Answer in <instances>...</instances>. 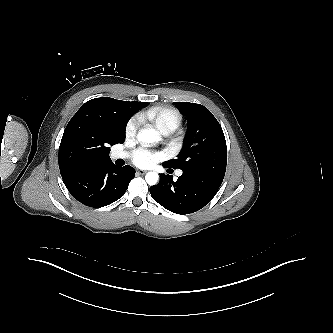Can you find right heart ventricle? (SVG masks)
<instances>
[{
    "label": "right heart ventricle",
    "instance_id": "e07e8e85",
    "mask_svg": "<svg viewBox=\"0 0 333 333\" xmlns=\"http://www.w3.org/2000/svg\"><path fill=\"white\" fill-rule=\"evenodd\" d=\"M144 120L151 122L161 133L170 134L182 122L179 110L169 106H154L141 114Z\"/></svg>",
    "mask_w": 333,
    "mask_h": 333
}]
</instances>
